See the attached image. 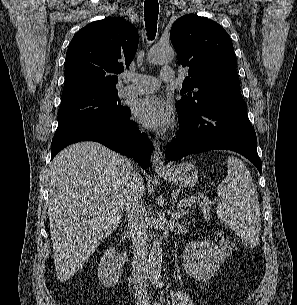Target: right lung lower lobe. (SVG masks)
<instances>
[{"instance_id": "98d812e1", "label": "right lung lower lobe", "mask_w": 297, "mask_h": 305, "mask_svg": "<svg viewBox=\"0 0 297 305\" xmlns=\"http://www.w3.org/2000/svg\"><path fill=\"white\" fill-rule=\"evenodd\" d=\"M79 141L99 142L120 154L132 157L143 169L150 162L152 143L130 120V109L124 118L90 121L53 138L51 158L64 147Z\"/></svg>"}]
</instances>
